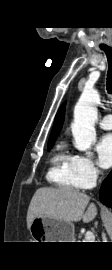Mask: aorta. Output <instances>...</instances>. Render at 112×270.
<instances>
[{"label": "aorta", "instance_id": "762f6f07", "mask_svg": "<svg viewBox=\"0 0 112 270\" xmlns=\"http://www.w3.org/2000/svg\"><path fill=\"white\" fill-rule=\"evenodd\" d=\"M97 90H84L74 109V122L71 125L75 140L74 146L80 151H87L96 140L95 122L97 120Z\"/></svg>", "mask_w": 112, "mask_h": 270}]
</instances>
